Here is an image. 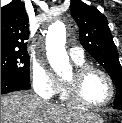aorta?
Returning a JSON list of instances; mask_svg holds the SVG:
<instances>
[{
	"label": "aorta",
	"mask_w": 122,
	"mask_h": 123,
	"mask_svg": "<svg viewBox=\"0 0 122 123\" xmlns=\"http://www.w3.org/2000/svg\"><path fill=\"white\" fill-rule=\"evenodd\" d=\"M65 41V25L61 21H56L48 29L46 50L51 67L59 75L70 69L69 57L65 50Z\"/></svg>",
	"instance_id": "aorta-1"
}]
</instances>
